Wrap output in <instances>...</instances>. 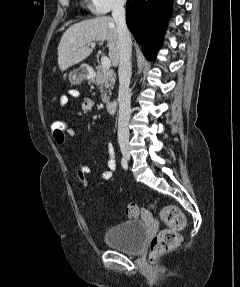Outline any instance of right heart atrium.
<instances>
[{
    "mask_svg": "<svg viewBox=\"0 0 240 287\" xmlns=\"http://www.w3.org/2000/svg\"><path fill=\"white\" fill-rule=\"evenodd\" d=\"M126 0H87L88 7L94 15H104L111 10L122 7Z\"/></svg>",
    "mask_w": 240,
    "mask_h": 287,
    "instance_id": "1",
    "label": "right heart atrium"
}]
</instances>
